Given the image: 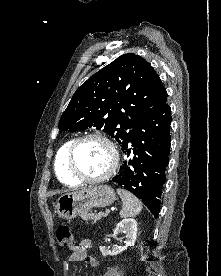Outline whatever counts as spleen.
<instances>
[{"mask_svg":"<svg viewBox=\"0 0 221 276\" xmlns=\"http://www.w3.org/2000/svg\"><path fill=\"white\" fill-rule=\"evenodd\" d=\"M117 193L120 195L123 206L120 211V217H134L138 215L142 210L141 202L129 191L118 188Z\"/></svg>","mask_w":221,"mask_h":276,"instance_id":"obj_1","label":"spleen"}]
</instances>
